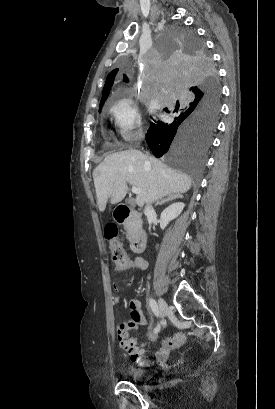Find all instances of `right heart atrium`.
<instances>
[{"label": "right heart atrium", "mask_w": 275, "mask_h": 409, "mask_svg": "<svg viewBox=\"0 0 275 409\" xmlns=\"http://www.w3.org/2000/svg\"><path fill=\"white\" fill-rule=\"evenodd\" d=\"M113 115L120 136L119 143H138L143 136L138 107L130 100H123L115 106Z\"/></svg>", "instance_id": "1"}]
</instances>
